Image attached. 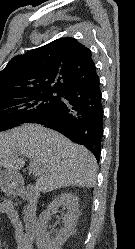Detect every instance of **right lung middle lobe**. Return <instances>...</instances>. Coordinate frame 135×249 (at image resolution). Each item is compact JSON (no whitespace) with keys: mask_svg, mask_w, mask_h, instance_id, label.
<instances>
[{"mask_svg":"<svg viewBox=\"0 0 135 249\" xmlns=\"http://www.w3.org/2000/svg\"><path fill=\"white\" fill-rule=\"evenodd\" d=\"M54 93H58V95L54 96ZM61 95L62 92L57 91H35L1 97L0 131L27 123L32 117L54 105Z\"/></svg>","mask_w":135,"mask_h":249,"instance_id":"obj_1","label":"right lung middle lobe"}]
</instances>
